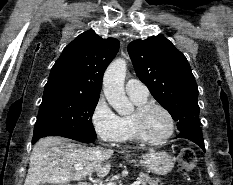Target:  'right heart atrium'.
Returning <instances> with one entry per match:
<instances>
[{
    "label": "right heart atrium",
    "mask_w": 233,
    "mask_h": 185,
    "mask_svg": "<svg viewBox=\"0 0 233 185\" xmlns=\"http://www.w3.org/2000/svg\"><path fill=\"white\" fill-rule=\"evenodd\" d=\"M91 124L101 141L110 144L121 141L124 133L122 119L109 106L104 96L97 99L92 109Z\"/></svg>",
    "instance_id": "d8ad5b80"
}]
</instances>
